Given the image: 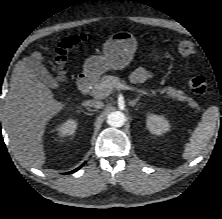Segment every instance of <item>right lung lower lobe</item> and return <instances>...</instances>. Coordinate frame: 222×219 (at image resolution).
Masks as SVG:
<instances>
[{
  "label": "right lung lower lobe",
  "mask_w": 222,
  "mask_h": 219,
  "mask_svg": "<svg viewBox=\"0 0 222 219\" xmlns=\"http://www.w3.org/2000/svg\"><path fill=\"white\" fill-rule=\"evenodd\" d=\"M81 167H78L77 169H75V170H73V171H71V172H75V171H77L78 169H80ZM71 172H68V173H71Z\"/></svg>",
  "instance_id": "obj_1"
}]
</instances>
